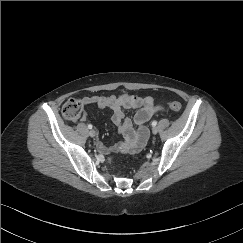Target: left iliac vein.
Here are the masks:
<instances>
[{"instance_id": "left-iliac-vein-1", "label": "left iliac vein", "mask_w": 243, "mask_h": 243, "mask_svg": "<svg viewBox=\"0 0 243 243\" xmlns=\"http://www.w3.org/2000/svg\"><path fill=\"white\" fill-rule=\"evenodd\" d=\"M158 132V129L156 128V127H153V129H152V133L153 134H156Z\"/></svg>"}]
</instances>
